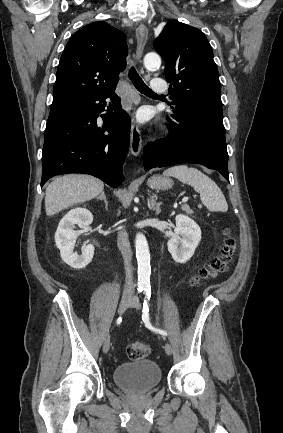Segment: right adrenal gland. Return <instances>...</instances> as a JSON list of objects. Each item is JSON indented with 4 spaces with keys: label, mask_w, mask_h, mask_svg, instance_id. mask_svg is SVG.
I'll list each match as a JSON object with an SVG mask.
<instances>
[{
    "label": "right adrenal gland",
    "mask_w": 283,
    "mask_h": 433,
    "mask_svg": "<svg viewBox=\"0 0 283 433\" xmlns=\"http://www.w3.org/2000/svg\"><path fill=\"white\" fill-rule=\"evenodd\" d=\"M96 198H97V200H104L105 208H107V210H108V200L106 198L105 190H102L101 194H98V196H96Z\"/></svg>",
    "instance_id": "obj_1"
}]
</instances>
